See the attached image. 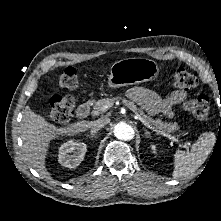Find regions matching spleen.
I'll list each match as a JSON object with an SVG mask.
<instances>
[{
    "label": "spleen",
    "mask_w": 221,
    "mask_h": 221,
    "mask_svg": "<svg viewBox=\"0 0 221 221\" xmlns=\"http://www.w3.org/2000/svg\"><path fill=\"white\" fill-rule=\"evenodd\" d=\"M213 132L203 133L193 143L190 152L176 150L174 153L173 178L180 179L195 172L205 162L215 145Z\"/></svg>",
    "instance_id": "1"
}]
</instances>
